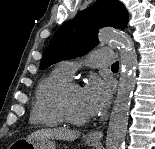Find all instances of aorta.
I'll return each mask as SVG.
<instances>
[{
    "label": "aorta",
    "mask_w": 155,
    "mask_h": 149,
    "mask_svg": "<svg viewBox=\"0 0 155 149\" xmlns=\"http://www.w3.org/2000/svg\"><path fill=\"white\" fill-rule=\"evenodd\" d=\"M99 39L101 43L115 44L121 48V74L107 129L106 149H123L131 96L136 82L137 54L130 38L113 29L102 30Z\"/></svg>",
    "instance_id": "aorta-1"
}]
</instances>
